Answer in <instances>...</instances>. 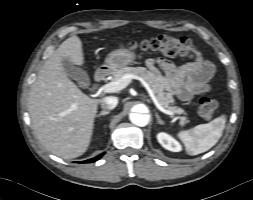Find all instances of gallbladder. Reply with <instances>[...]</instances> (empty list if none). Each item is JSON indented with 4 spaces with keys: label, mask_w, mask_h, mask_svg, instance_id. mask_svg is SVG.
<instances>
[{
    "label": "gallbladder",
    "mask_w": 253,
    "mask_h": 200,
    "mask_svg": "<svg viewBox=\"0 0 253 200\" xmlns=\"http://www.w3.org/2000/svg\"><path fill=\"white\" fill-rule=\"evenodd\" d=\"M62 65L66 75L76 80L82 87L89 83L87 73L76 67L68 58L62 60Z\"/></svg>",
    "instance_id": "gallbladder-1"
}]
</instances>
